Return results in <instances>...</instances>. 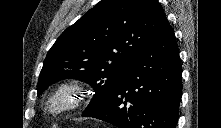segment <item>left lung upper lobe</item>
<instances>
[{
	"label": "left lung upper lobe",
	"mask_w": 221,
	"mask_h": 128,
	"mask_svg": "<svg viewBox=\"0 0 221 128\" xmlns=\"http://www.w3.org/2000/svg\"><path fill=\"white\" fill-rule=\"evenodd\" d=\"M167 19L156 0H101L68 27L48 51L37 90L74 78L90 83L94 97L83 113L102 105Z\"/></svg>",
	"instance_id": "obj_1"
}]
</instances>
